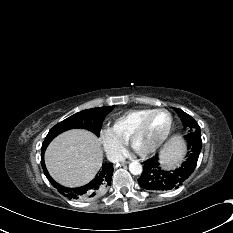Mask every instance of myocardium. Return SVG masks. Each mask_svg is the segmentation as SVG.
I'll return each instance as SVG.
<instances>
[{
  "label": "myocardium",
  "mask_w": 233,
  "mask_h": 233,
  "mask_svg": "<svg viewBox=\"0 0 233 233\" xmlns=\"http://www.w3.org/2000/svg\"><path fill=\"white\" fill-rule=\"evenodd\" d=\"M166 112L168 114L169 117V123L168 126L164 132V134L160 137V139L154 143L153 145H151L150 147L146 148V149H140L137 146V141L140 138V136L142 135L147 122L149 121L150 117L155 114L156 112ZM172 125H173V116L171 114V112L166 109V108H155L150 110L145 116H143L140 121L137 123L136 127L134 128V130L132 131L130 138H129V145L130 147L139 155L141 156H148L151 155L152 153H154L155 151H157L167 140L171 129H172Z\"/></svg>",
  "instance_id": "1"
}]
</instances>
